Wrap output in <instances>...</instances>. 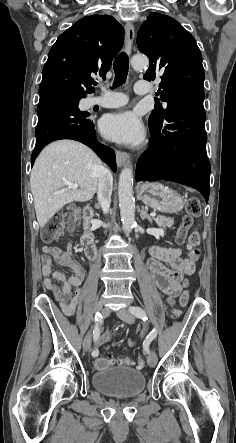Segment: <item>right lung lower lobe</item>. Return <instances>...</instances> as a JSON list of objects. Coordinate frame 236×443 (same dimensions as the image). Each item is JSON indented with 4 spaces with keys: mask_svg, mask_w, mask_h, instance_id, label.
<instances>
[{
    "mask_svg": "<svg viewBox=\"0 0 236 443\" xmlns=\"http://www.w3.org/2000/svg\"><path fill=\"white\" fill-rule=\"evenodd\" d=\"M79 101L58 93L40 95L37 108L38 124L35 130L36 146L31 164L50 142L59 139L80 141L94 150L100 158L116 171L114 151L96 140L95 125L87 112L79 111Z\"/></svg>",
    "mask_w": 236,
    "mask_h": 443,
    "instance_id": "right-lung-lower-lobe-1",
    "label": "right lung lower lobe"
}]
</instances>
